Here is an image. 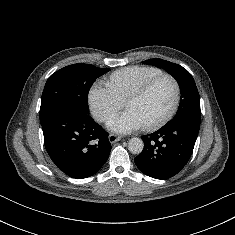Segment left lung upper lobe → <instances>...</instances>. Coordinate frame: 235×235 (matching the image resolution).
Here are the masks:
<instances>
[{"label":"left lung upper lobe","instance_id":"1","mask_svg":"<svg viewBox=\"0 0 235 235\" xmlns=\"http://www.w3.org/2000/svg\"><path fill=\"white\" fill-rule=\"evenodd\" d=\"M142 63L163 68L176 79L180 86V105L175 117L168 123L187 117L201 119L199 93L192 75L185 68L158 58L149 59Z\"/></svg>","mask_w":235,"mask_h":235}]
</instances>
